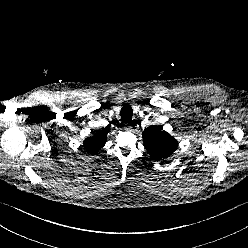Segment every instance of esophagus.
I'll use <instances>...</instances> for the list:
<instances>
[{
  "instance_id": "obj_1",
  "label": "esophagus",
  "mask_w": 248,
  "mask_h": 248,
  "mask_svg": "<svg viewBox=\"0 0 248 248\" xmlns=\"http://www.w3.org/2000/svg\"><path fill=\"white\" fill-rule=\"evenodd\" d=\"M124 129L127 130V131H131L132 130V126L129 123H126L124 125Z\"/></svg>"
}]
</instances>
